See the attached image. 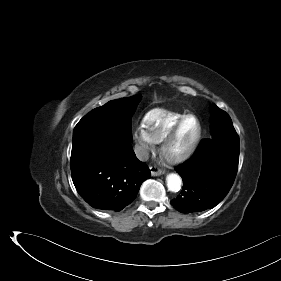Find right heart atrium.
I'll return each mask as SVG.
<instances>
[{
	"mask_svg": "<svg viewBox=\"0 0 281 281\" xmlns=\"http://www.w3.org/2000/svg\"><path fill=\"white\" fill-rule=\"evenodd\" d=\"M133 138L136 144V151L141 159H144L153 149L154 142L150 139L143 126H138L133 132Z\"/></svg>",
	"mask_w": 281,
	"mask_h": 281,
	"instance_id": "1",
	"label": "right heart atrium"
}]
</instances>
